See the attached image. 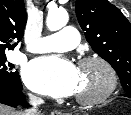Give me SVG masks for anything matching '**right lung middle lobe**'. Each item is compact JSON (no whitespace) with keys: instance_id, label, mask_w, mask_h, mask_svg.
<instances>
[{"instance_id":"1","label":"right lung middle lobe","mask_w":131,"mask_h":115,"mask_svg":"<svg viewBox=\"0 0 131 115\" xmlns=\"http://www.w3.org/2000/svg\"><path fill=\"white\" fill-rule=\"evenodd\" d=\"M5 53H0V88H8L19 81V74L13 71V64L7 63Z\"/></svg>"}]
</instances>
